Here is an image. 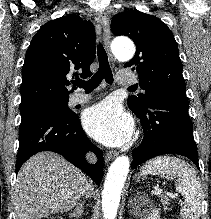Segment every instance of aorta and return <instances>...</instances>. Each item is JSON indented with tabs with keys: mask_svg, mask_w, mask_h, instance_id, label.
Segmentation results:
<instances>
[{
	"mask_svg": "<svg viewBox=\"0 0 211 219\" xmlns=\"http://www.w3.org/2000/svg\"><path fill=\"white\" fill-rule=\"evenodd\" d=\"M114 55L122 61L130 60L135 53V46L130 40L117 41L113 47ZM130 167L129 158L119 156L111 164L102 192V210L105 219H115L119 207L122 188Z\"/></svg>",
	"mask_w": 211,
	"mask_h": 219,
	"instance_id": "1",
	"label": "aorta"
}]
</instances>
